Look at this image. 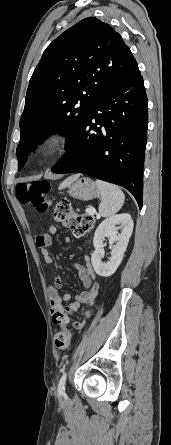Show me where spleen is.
Masks as SVG:
<instances>
[{"label": "spleen", "mask_w": 171, "mask_h": 445, "mask_svg": "<svg viewBox=\"0 0 171 445\" xmlns=\"http://www.w3.org/2000/svg\"><path fill=\"white\" fill-rule=\"evenodd\" d=\"M101 195L99 213L103 217H109L116 214L124 204L125 195L122 190L110 183L101 180L95 181Z\"/></svg>", "instance_id": "1"}]
</instances>
